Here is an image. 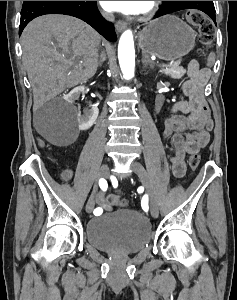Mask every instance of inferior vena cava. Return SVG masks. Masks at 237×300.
<instances>
[{
	"instance_id": "obj_1",
	"label": "inferior vena cava",
	"mask_w": 237,
	"mask_h": 300,
	"mask_svg": "<svg viewBox=\"0 0 237 300\" xmlns=\"http://www.w3.org/2000/svg\"><path fill=\"white\" fill-rule=\"evenodd\" d=\"M103 15H104L105 19H107V21H112V23H113V21L115 19L113 13H103Z\"/></svg>"
}]
</instances>
